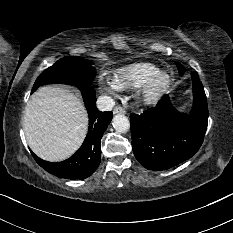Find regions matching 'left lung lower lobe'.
Wrapping results in <instances>:
<instances>
[{
    "mask_svg": "<svg viewBox=\"0 0 233 233\" xmlns=\"http://www.w3.org/2000/svg\"><path fill=\"white\" fill-rule=\"evenodd\" d=\"M192 83L194 106L189 116L177 113L167 95L156 107L130 116L133 152L145 168L167 170L199 150L207 129L208 107L196 72H192Z\"/></svg>",
    "mask_w": 233,
    "mask_h": 233,
    "instance_id": "left-lung-lower-lobe-1",
    "label": "left lung lower lobe"
}]
</instances>
